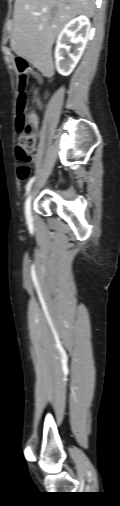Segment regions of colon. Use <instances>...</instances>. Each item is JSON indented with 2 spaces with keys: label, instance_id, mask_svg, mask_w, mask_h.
Instances as JSON below:
<instances>
[{
  "label": "colon",
  "instance_id": "obj_1",
  "mask_svg": "<svg viewBox=\"0 0 120 506\" xmlns=\"http://www.w3.org/2000/svg\"><path fill=\"white\" fill-rule=\"evenodd\" d=\"M26 57L23 55H17L15 62L21 72L19 79V86L23 90L27 83L26 72L28 71V64ZM35 120L34 115L29 109L28 99L22 94L18 100V118H17V129L19 132L18 145L16 148V156L19 160L17 167V173L19 178L25 179L29 175V167L27 165L29 161V155L35 148V134H34Z\"/></svg>",
  "mask_w": 120,
  "mask_h": 506
}]
</instances>
